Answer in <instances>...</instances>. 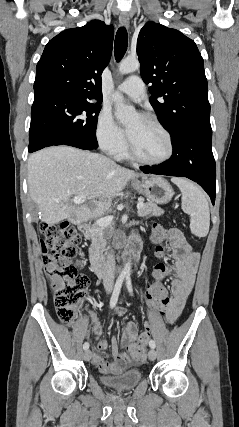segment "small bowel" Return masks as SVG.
Returning a JSON list of instances; mask_svg holds the SVG:
<instances>
[{
  "instance_id": "obj_1",
  "label": "small bowel",
  "mask_w": 239,
  "mask_h": 427,
  "mask_svg": "<svg viewBox=\"0 0 239 427\" xmlns=\"http://www.w3.org/2000/svg\"><path fill=\"white\" fill-rule=\"evenodd\" d=\"M165 235H170L171 237L167 256H172L175 262L173 267L168 266L170 274L172 273L174 277L171 283L172 298H168L164 313L166 320L169 323H174L180 316L193 288L200 255L193 250L179 229L172 228ZM134 242L139 243L137 237L134 238ZM125 313L126 309L122 307L117 308L115 311L118 317L124 316ZM93 331L96 336L95 348L97 350L92 355L93 364L104 374H118L122 372L129 363V357L119 352L117 339L112 338L110 341L112 361H107L100 354L101 351L107 348V342L102 338L103 328L97 320H94ZM136 339L137 325L134 322H129L124 329L122 342L129 347L135 343Z\"/></svg>"
}]
</instances>
